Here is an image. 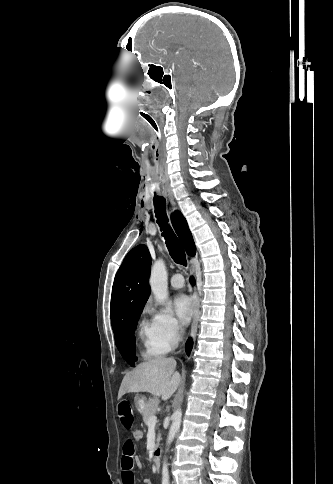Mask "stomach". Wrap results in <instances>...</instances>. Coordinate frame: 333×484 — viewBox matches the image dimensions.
<instances>
[{"instance_id":"obj_1","label":"stomach","mask_w":333,"mask_h":484,"mask_svg":"<svg viewBox=\"0 0 333 484\" xmlns=\"http://www.w3.org/2000/svg\"><path fill=\"white\" fill-rule=\"evenodd\" d=\"M135 406L139 413H143L148 405L149 400L143 395H137L135 397Z\"/></svg>"}]
</instances>
